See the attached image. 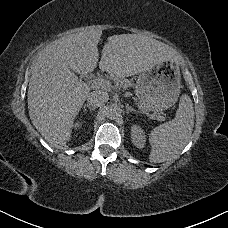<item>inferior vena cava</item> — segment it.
<instances>
[{"label": "inferior vena cava", "instance_id": "602c4592", "mask_svg": "<svg viewBox=\"0 0 228 228\" xmlns=\"http://www.w3.org/2000/svg\"><path fill=\"white\" fill-rule=\"evenodd\" d=\"M109 100L107 92L102 90H96L88 94L87 103L92 107L103 106Z\"/></svg>", "mask_w": 228, "mask_h": 228}]
</instances>
